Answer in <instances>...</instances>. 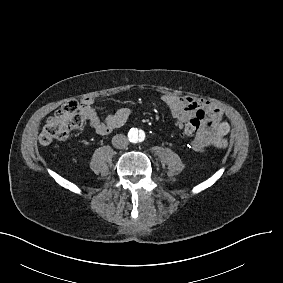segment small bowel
I'll return each instance as SVG.
<instances>
[{
    "label": "small bowel",
    "instance_id": "1",
    "mask_svg": "<svg viewBox=\"0 0 283 283\" xmlns=\"http://www.w3.org/2000/svg\"><path fill=\"white\" fill-rule=\"evenodd\" d=\"M162 102L169 109L181 129V124L176 120V111L182 103H191L195 107V119L199 120L205 127V136L201 140H192L190 149L199 152L208 147L216 146L225 148L229 144L228 134L231 126L225 119L221 108L202 97L191 95H175L166 93L161 96ZM94 97H85L80 102V109L90 126L100 135H106L122 127L130 118L131 111L128 108H121L115 113L108 114L103 120L100 118L96 108ZM185 134V133H184ZM186 135V134H185Z\"/></svg>",
    "mask_w": 283,
    "mask_h": 283
}]
</instances>
